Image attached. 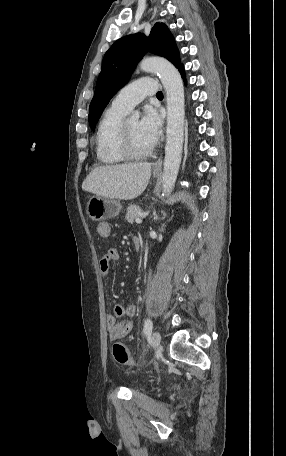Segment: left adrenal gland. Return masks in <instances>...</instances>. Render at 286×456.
I'll list each match as a JSON object with an SVG mask.
<instances>
[{"label":"left adrenal gland","mask_w":286,"mask_h":456,"mask_svg":"<svg viewBox=\"0 0 286 456\" xmlns=\"http://www.w3.org/2000/svg\"><path fill=\"white\" fill-rule=\"evenodd\" d=\"M153 215H154V220L157 221L158 220V216H157L155 211H154Z\"/></svg>","instance_id":"obj_1"}]
</instances>
